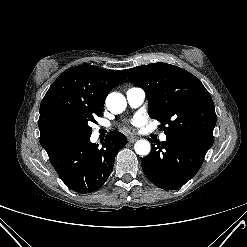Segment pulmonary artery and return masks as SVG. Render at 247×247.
<instances>
[{"label":"pulmonary artery","mask_w":247,"mask_h":247,"mask_svg":"<svg viewBox=\"0 0 247 247\" xmlns=\"http://www.w3.org/2000/svg\"><path fill=\"white\" fill-rule=\"evenodd\" d=\"M146 98L145 91L140 87H131L126 91V99L128 104L132 108L141 106ZM167 136L165 134L160 135V140L165 141Z\"/></svg>","instance_id":"pulmonary-artery-1"}]
</instances>
